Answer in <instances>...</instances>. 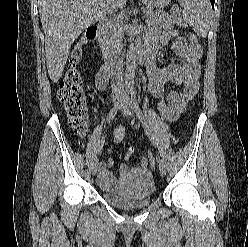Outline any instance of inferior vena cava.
I'll list each match as a JSON object with an SVG mask.
<instances>
[{
    "label": "inferior vena cava",
    "instance_id": "obj_1",
    "mask_svg": "<svg viewBox=\"0 0 248 247\" xmlns=\"http://www.w3.org/2000/svg\"><path fill=\"white\" fill-rule=\"evenodd\" d=\"M108 8L106 11V15L108 16L109 23L117 24L120 19V15L118 14V4L117 0H107Z\"/></svg>",
    "mask_w": 248,
    "mask_h": 247
}]
</instances>
